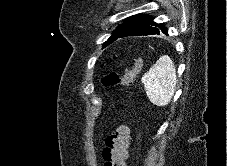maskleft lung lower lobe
Masks as SVG:
<instances>
[{"label":"left lung lower lobe","mask_w":227,"mask_h":166,"mask_svg":"<svg viewBox=\"0 0 227 166\" xmlns=\"http://www.w3.org/2000/svg\"><path fill=\"white\" fill-rule=\"evenodd\" d=\"M160 30L167 34V29L162 24H157L152 20V17L148 15H137L131 27L127 30L117 34L114 39L122 38L125 36H142V35H152L159 34ZM111 42V43H112Z\"/></svg>","instance_id":"1"}]
</instances>
